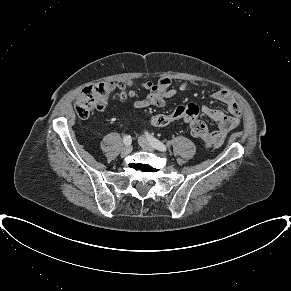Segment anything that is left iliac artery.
Instances as JSON below:
<instances>
[{"mask_svg":"<svg viewBox=\"0 0 291 291\" xmlns=\"http://www.w3.org/2000/svg\"><path fill=\"white\" fill-rule=\"evenodd\" d=\"M145 134H146L147 139L153 145L154 148L162 152H165L167 150V147L161 141L151 136L148 132H146Z\"/></svg>","mask_w":291,"mask_h":291,"instance_id":"1","label":"left iliac artery"}]
</instances>
